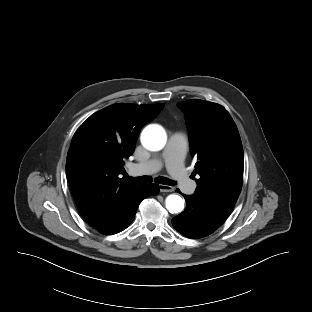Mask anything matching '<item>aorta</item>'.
<instances>
[{
  "label": "aorta",
  "mask_w": 312,
  "mask_h": 312,
  "mask_svg": "<svg viewBox=\"0 0 312 312\" xmlns=\"http://www.w3.org/2000/svg\"><path fill=\"white\" fill-rule=\"evenodd\" d=\"M141 143L149 151H159L166 144V133L160 126L150 125L143 130ZM166 208L172 214L179 213L184 209V201L180 196L171 194L166 198Z\"/></svg>",
  "instance_id": "762f6f07"
}]
</instances>
